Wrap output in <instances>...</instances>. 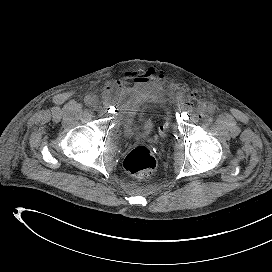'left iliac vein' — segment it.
Wrapping results in <instances>:
<instances>
[{"label": "left iliac vein", "instance_id": "obj_1", "mask_svg": "<svg viewBox=\"0 0 272 272\" xmlns=\"http://www.w3.org/2000/svg\"><path fill=\"white\" fill-rule=\"evenodd\" d=\"M207 111H208V109H207L206 105H204V104L199 105L197 108V114L200 116H204Z\"/></svg>", "mask_w": 272, "mask_h": 272}]
</instances>
